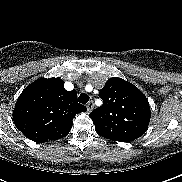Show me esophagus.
<instances>
[{
  "label": "esophagus",
  "mask_w": 182,
  "mask_h": 182,
  "mask_svg": "<svg viewBox=\"0 0 182 182\" xmlns=\"http://www.w3.org/2000/svg\"><path fill=\"white\" fill-rule=\"evenodd\" d=\"M86 107H87V112H91L93 110V108H94L93 101L88 102Z\"/></svg>",
  "instance_id": "obj_1"
}]
</instances>
